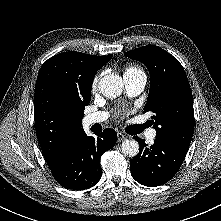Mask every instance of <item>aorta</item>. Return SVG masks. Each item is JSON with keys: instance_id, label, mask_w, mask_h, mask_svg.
I'll return each instance as SVG.
<instances>
[{"instance_id": "aorta-1", "label": "aorta", "mask_w": 221, "mask_h": 221, "mask_svg": "<svg viewBox=\"0 0 221 221\" xmlns=\"http://www.w3.org/2000/svg\"><path fill=\"white\" fill-rule=\"evenodd\" d=\"M98 88L103 96L107 98H116L121 95L123 90V80L119 75H105L99 81ZM122 153L125 156L135 157L139 152V144L136 140H125L121 145Z\"/></svg>"}]
</instances>
